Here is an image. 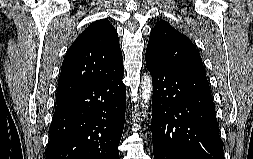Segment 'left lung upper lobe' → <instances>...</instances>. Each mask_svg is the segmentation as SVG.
I'll return each instance as SVG.
<instances>
[{
    "instance_id": "5c2ea615",
    "label": "left lung upper lobe",
    "mask_w": 253,
    "mask_h": 159,
    "mask_svg": "<svg viewBox=\"0 0 253 159\" xmlns=\"http://www.w3.org/2000/svg\"><path fill=\"white\" fill-rule=\"evenodd\" d=\"M145 59L160 67L205 72L200 54L190 39L166 21L158 22L152 29Z\"/></svg>"
}]
</instances>
